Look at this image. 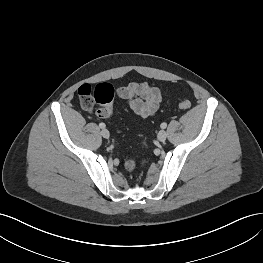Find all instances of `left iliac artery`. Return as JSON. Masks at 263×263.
<instances>
[{"label":"left iliac artery","instance_id":"obj_1","mask_svg":"<svg viewBox=\"0 0 263 263\" xmlns=\"http://www.w3.org/2000/svg\"><path fill=\"white\" fill-rule=\"evenodd\" d=\"M166 127H167V124H166V123H162V124H161V128H162V129H165Z\"/></svg>","mask_w":263,"mask_h":263}]
</instances>
